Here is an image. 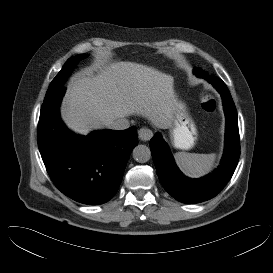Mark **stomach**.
<instances>
[{
	"instance_id": "1",
	"label": "stomach",
	"mask_w": 273,
	"mask_h": 273,
	"mask_svg": "<svg viewBox=\"0 0 273 273\" xmlns=\"http://www.w3.org/2000/svg\"><path fill=\"white\" fill-rule=\"evenodd\" d=\"M173 123L171 138L174 146L179 149H190L197 139L196 126L187 112L184 102L175 98L172 106Z\"/></svg>"
}]
</instances>
